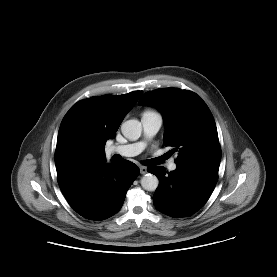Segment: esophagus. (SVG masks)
<instances>
[{"instance_id":"34e87169","label":"esophagus","mask_w":277,"mask_h":277,"mask_svg":"<svg viewBox=\"0 0 277 277\" xmlns=\"http://www.w3.org/2000/svg\"><path fill=\"white\" fill-rule=\"evenodd\" d=\"M148 172V168L147 167H145V166H140V173L141 174H146Z\"/></svg>"}]
</instances>
